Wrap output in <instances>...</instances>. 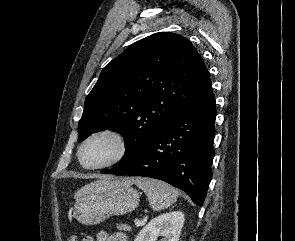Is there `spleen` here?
<instances>
[{
	"mask_svg": "<svg viewBox=\"0 0 295 241\" xmlns=\"http://www.w3.org/2000/svg\"><path fill=\"white\" fill-rule=\"evenodd\" d=\"M135 184L143 190L149 204L155 211H160L174 204L178 198V191L169 184L151 178H136Z\"/></svg>",
	"mask_w": 295,
	"mask_h": 241,
	"instance_id": "1",
	"label": "spleen"
}]
</instances>
